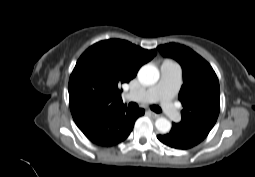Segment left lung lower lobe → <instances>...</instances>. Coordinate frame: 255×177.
Instances as JSON below:
<instances>
[{
  "label": "left lung lower lobe",
  "instance_id": "left-lung-lower-lobe-1",
  "mask_svg": "<svg viewBox=\"0 0 255 177\" xmlns=\"http://www.w3.org/2000/svg\"><path fill=\"white\" fill-rule=\"evenodd\" d=\"M157 138L165 145L176 149H189L204 140V137L191 133L176 123H172V129L168 134L158 135Z\"/></svg>",
  "mask_w": 255,
  "mask_h": 177
}]
</instances>
